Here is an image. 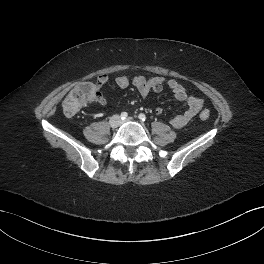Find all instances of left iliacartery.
<instances>
[{"label": "left iliac artery", "mask_w": 264, "mask_h": 264, "mask_svg": "<svg viewBox=\"0 0 264 264\" xmlns=\"http://www.w3.org/2000/svg\"><path fill=\"white\" fill-rule=\"evenodd\" d=\"M138 118L141 120V121H145L146 120V116L143 114V113H140Z\"/></svg>", "instance_id": "44dca946"}]
</instances>
